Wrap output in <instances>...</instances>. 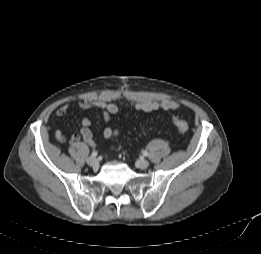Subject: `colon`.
Returning a JSON list of instances; mask_svg holds the SVG:
<instances>
[{
  "label": "colon",
  "instance_id": "obj_1",
  "mask_svg": "<svg viewBox=\"0 0 261 254\" xmlns=\"http://www.w3.org/2000/svg\"><path fill=\"white\" fill-rule=\"evenodd\" d=\"M171 121H172L173 126L181 134H185L188 131V128H189L188 122L186 120L182 119L180 116L173 115Z\"/></svg>",
  "mask_w": 261,
  "mask_h": 254
}]
</instances>
